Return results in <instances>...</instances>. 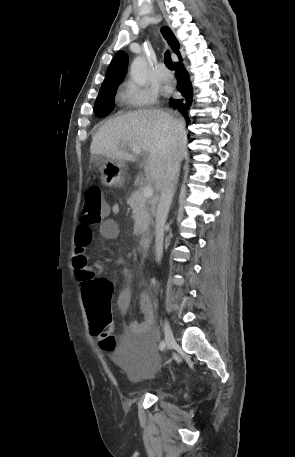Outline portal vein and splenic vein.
<instances>
[{
  "label": "portal vein and splenic vein",
  "mask_w": 295,
  "mask_h": 457,
  "mask_svg": "<svg viewBox=\"0 0 295 457\" xmlns=\"http://www.w3.org/2000/svg\"><path fill=\"white\" fill-rule=\"evenodd\" d=\"M130 149L132 150L133 153L137 154V155H140L142 153V150L137 147V146H134V145H129ZM143 196L145 198H151L152 195H153V188L150 184H147L144 188H143Z\"/></svg>",
  "instance_id": "18ae733b"
}]
</instances>
